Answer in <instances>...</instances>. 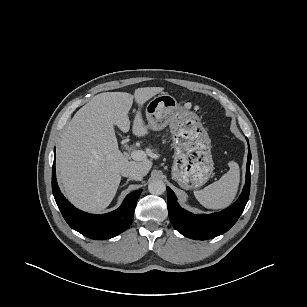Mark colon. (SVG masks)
Wrapping results in <instances>:
<instances>
[{
  "label": "colon",
  "mask_w": 307,
  "mask_h": 307,
  "mask_svg": "<svg viewBox=\"0 0 307 307\" xmlns=\"http://www.w3.org/2000/svg\"><path fill=\"white\" fill-rule=\"evenodd\" d=\"M183 106L185 107V108H187V109H189V108H191V103L189 102V101H185L184 103H183Z\"/></svg>",
  "instance_id": "1"
}]
</instances>
